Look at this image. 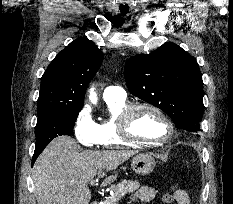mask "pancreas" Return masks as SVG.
Returning a JSON list of instances; mask_svg holds the SVG:
<instances>
[{
    "label": "pancreas",
    "mask_w": 233,
    "mask_h": 204,
    "mask_svg": "<svg viewBox=\"0 0 233 204\" xmlns=\"http://www.w3.org/2000/svg\"><path fill=\"white\" fill-rule=\"evenodd\" d=\"M140 183L133 180H123L117 185H112L111 189L114 192L112 196L105 198L103 204H119L121 198L127 194L138 190Z\"/></svg>",
    "instance_id": "pancreas-1"
}]
</instances>
